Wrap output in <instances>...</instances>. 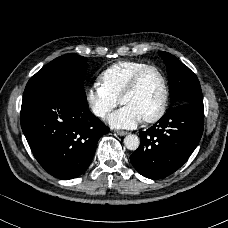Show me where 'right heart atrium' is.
I'll return each mask as SVG.
<instances>
[{"mask_svg":"<svg viewBox=\"0 0 228 228\" xmlns=\"http://www.w3.org/2000/svg\"><path fill=\"white\" fill-rule=\"evenodd\" d=\"M86 101L95 116L105 118L119 104L99 82H93L86 90Z\"/></svg>","mask_w":228,"mask_h":228,"instance_id":"right-heart-atrium-1","label":"right heart atrium"}]
</instances>
